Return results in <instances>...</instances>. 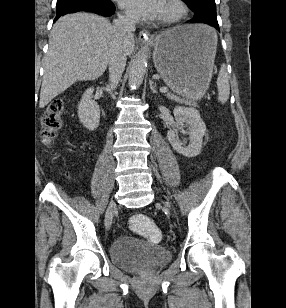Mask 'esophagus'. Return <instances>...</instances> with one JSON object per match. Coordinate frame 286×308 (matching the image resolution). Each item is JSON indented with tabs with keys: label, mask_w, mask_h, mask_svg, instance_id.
<instances>
[{
	"label": "esophagus",
	"mask_w": 286,
	"mask_h": 308,
	"mask_svg": "<svg viewBox=\"0 0 286 308\" xmlns=\"http://www.w3.org/2000/svg\"><path fill=\"white\" fill-rule=\"evenodd\" d=\"M152 36L148 30H144L139 34V40L142 42L150 41Z\"/></svg>",
	"instance_id": "1"
}]
</instances>
